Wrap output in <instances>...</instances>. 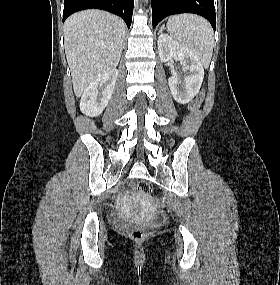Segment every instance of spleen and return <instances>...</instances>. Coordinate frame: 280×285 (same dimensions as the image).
Here are the masks:
<instances>
[{
	"label": "spleen",
	"instance_id": "1",
	"mask_svg": "<svg viewBox=\"0 0 280 285\" xmlns=\"http://www.w3.org/2000/svg\"><path fill=\"white\" fill-rule=\"evenodd\" d=\"M167 29L172 38L189 49L205 68L209 67L214 33L209 22L197 15H175L168 19Z\"/></svg>",
	"mask_w": 280,
	"mask_h": 285
}]
</instances>
